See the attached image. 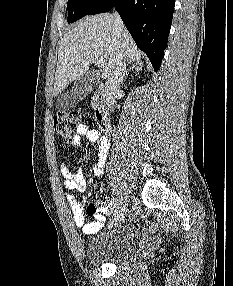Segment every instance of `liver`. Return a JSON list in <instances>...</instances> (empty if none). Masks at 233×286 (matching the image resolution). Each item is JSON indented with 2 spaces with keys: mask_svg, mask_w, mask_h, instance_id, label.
Returning a JSON list of instances; mask_svg holds the SVG:
<instances>
[{
  "mask_svg": "<svg viewBox=\"0 0 233 286\" xmlns=\"http://www.w3.org/2000/svg\"><path fill=\"white\" fill-rule=\"evenodd\" d=\"M114 23L115 17L109 13L87 16L64 34L58 49L54 97L85 74L96 59L105 61L102 79L113 77L118 54L129 62L140 60L141 53L131 35L124 26L116 29Z\"/></svg>",
  "mask_w": 233,
  "mask_h": 286,
  "instance_id": "6515ba94",
  "label": "liver"
}]
</instances>
